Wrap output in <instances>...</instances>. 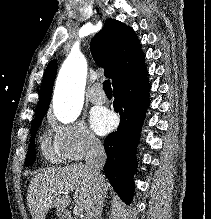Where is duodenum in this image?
I'll list each match as a JSON object with an SVG mask.
<instances>
[{"label":"duodenum","mask_w":211,"mask_h":219,"mask_svg":"<svg viewBox=\"0 0 211 219\" xmlns=\"http://www.w3.org/2000/svg\"><path fill=\"white\" fill-rule=\"evenodd\" d=\"M59 216H60V219H73L70 212L65 209L59 210Z\"/></svg>","instance_id":"410a0bca"}]
</instances>
